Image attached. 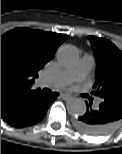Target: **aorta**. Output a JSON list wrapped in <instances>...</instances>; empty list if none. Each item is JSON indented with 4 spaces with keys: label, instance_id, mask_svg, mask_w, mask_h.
Segmentation results:
<instances>
[{
    "label": "aorta",
    "instance_id": "762f6f07",
    "mask_svg": "<svg viewBox=\"0 0 122 154\" xmlns=\"http://www.w3.org/2000/svg\"><path fill=\"white\" fill-rule=\"evenodd\" d=\"M78 51L74 46L65 45L57 51V61L62 66H73L78 61ZM67 111L71 115H82L86 112V104L81 98H71L67 104Z\"/></svg>",
    "mask_w": 122,
    "mask_h": 154
}]
</instances>
